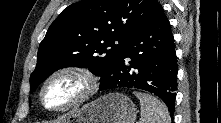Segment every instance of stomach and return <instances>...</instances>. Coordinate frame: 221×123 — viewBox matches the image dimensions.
Returning a JSON list of instances; mask_svg holds the SVG:
<instances>
[{
	"mask_svg": "<svg viewBox=\"0 0 221 123\" xmlns=\"http://www.w3.org/2000/svg\"><path fill=\"white\" fill-rule=\"evenodd\" d=\"M137 108L121 93H109L68 113L62 123H134Z\"/></svg>",
	"mask_w": 221,
	"mask_h": 123,
	"instance_id": "0dacf381",
	"label": "stomach"
}]
</instances>
